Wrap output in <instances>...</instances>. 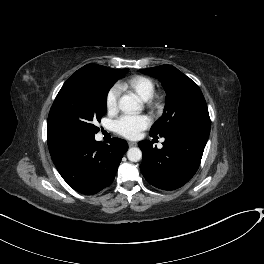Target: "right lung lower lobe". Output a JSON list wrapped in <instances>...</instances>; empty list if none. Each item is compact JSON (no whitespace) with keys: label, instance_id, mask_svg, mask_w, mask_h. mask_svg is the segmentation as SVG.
Segmentation results:
<instances>
[{"label":"right lung lower lobe","instance_id":"98d812e1","mask_svg":"<svg viewBox=\"0 0 264 264\" xmlns=\"http://www.w3.org/2000/svg\"><path fill=\"white\" fill-rule=\"evenodd\" d=\"M126 141L113 138L110 145L93 138L61 143L50 150L52 160L66 183L79 193L92 195L109 186L116 175Z\"/></svg>","mask_w":264,"mask_h":264}]
</instances>
